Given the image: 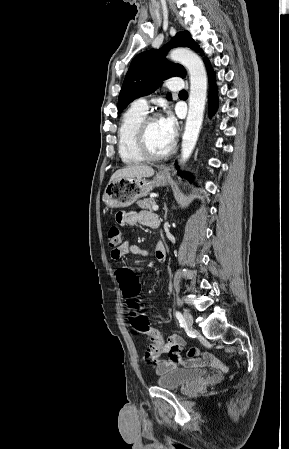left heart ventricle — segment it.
I'll return each instance as SVG.
<instances>
[{"instance_id": "1", "label": "left heart ventricle", "mask_w": 289, "mask_h": 449, "mask_svg": "<svg viewBox=\"0 0 289 449\" xmlns=\"http://www.w3.org/2000/svg\"><path fill=\"white\" fill-rule=\"evenodd\" d=\"M148 146L154 154L166 152L172 145L173 138L162 125L161 119L153 121L147 133Z\"/></svg>"}]
</instances>
